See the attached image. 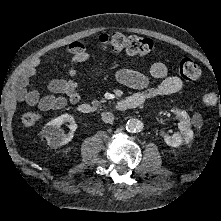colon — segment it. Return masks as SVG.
Returning <instances> with one entry per match:
<instances>
[{"label":"colon","instance_id":"5ec220e1","mask_svg":"<svg viewBox=\"0 0 221 221\" xmlns=\"http://www.w3.org/2000/svg\"><path fill=\"white\" fill-rule=\"evenodd\" d=\"M99 48L101 51H124L129 54L147 55L152 52L154 45L153 42L147 38L114 33L100 36ZM179 72L180 75L188 81L197 80L201 75L200 66L196 61L190 58L183 59L180 62ZM200 99L205 106H214L218 101L221 103V97L219 99L213 91H204ZM39 121L40 114L37 111L29 110L21 115V123L26 128L36 126Z\"/></svg>","mask_w":221,"mask_h":221}]
</instances>
